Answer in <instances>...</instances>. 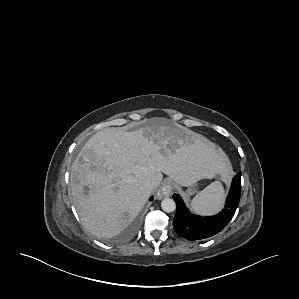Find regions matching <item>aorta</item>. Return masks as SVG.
Returning <instances> with one entry per match:
<instances>
[{
	"label": "aorta",
	"instance_id": "762f6f07",
	"mask_svg": "<svg viewBox=\"0 0 299 299\" xmlns=\"http://www.w3.org/2000/svg\"><path fill=\"white\" fill-rule=\"evenodd\" d=\"M161 207H162L163 211H165L167 213H171V212L175 211L176 204L173 199L165 198L161 202Z\"/></svg>",
	"mask_w": 299,
	"mask_h": 299
}]
</instances>
